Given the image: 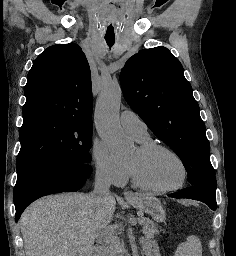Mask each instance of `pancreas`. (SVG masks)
Segmentation results:
<instances>
[{
    "label": "pancreas",
    "instance_id": "1",
    "mask_svg": "<svg viewBox=\"0 0 236 256\" xmlns=\"http://www.w3.org/2000/svg\"><path fill=\"white\" fill-rule=\"evenodd\" d=\"M117 224H122V219H117ZM141 227H145L143 234L145 238L141 239L142 243H149L151 238H155L158 234V226L151 222V220H146V222H141ZM121 230V231H120ZM124 233L122 227L120 226H106L103 232V237L99 238L100 242H103V253L104 254H115L116 248L120 246V240L117 238V234ZM159 235H163V232H159Z\"/></svg>",
    "mask_w": 236,
    "mask_h": 256
}]
</instances>
